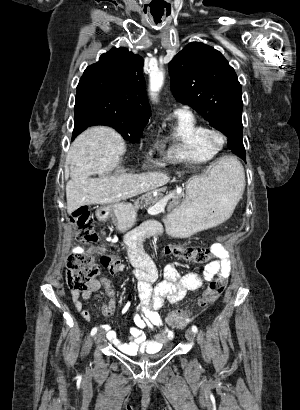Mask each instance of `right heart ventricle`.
Instances as JSON below:
<instances>
[{
  "label": "right heart ventricle",
  "instance_id": "obj_1",
  "mask_svg": "<svg viewBox=\"0 0 300 410\" xmlns=\"http://www.w3.org/2000/svg\"><path fill=\"white\" fill-rule=\"evenodd\" d=\"M207 127L187 111H178L168 136L167 157L174 162L201 163L212 160L217 150L205 143Z\"/></svg>",
  "mask_w": 300,
  "mask_h": 410
}]
</instances>
